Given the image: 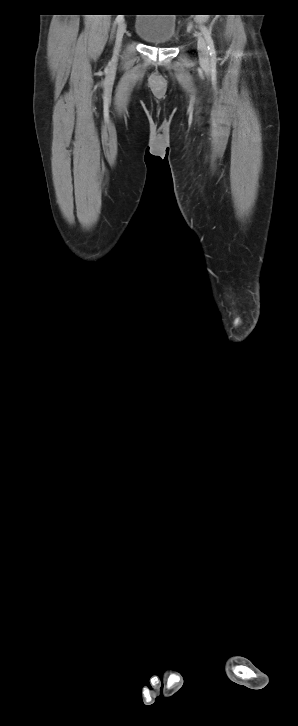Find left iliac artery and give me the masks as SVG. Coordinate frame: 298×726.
Segmentation results:
<instances>
[{
	"label": "left iliac artery",
	"mask_w": 298,
	"mask_h": 726,
	"mask_svg": "<svg viewBox=\"0 0 298 726\" xmlns=\"http://www.w3.org/2000/svg\"><path fill=\"white\" fill-rule=\"evenodd\" d=\"M201 30H202V33L204 35V38H205V40L207 42V48H208V51H209V55H210L211 61L214 62L216 60V50H215V46H214V41H213V39L211 37V33L204 26L201 27Z\"/></svg>",
	"instance_id": "44dca946"
}]
</instances>
